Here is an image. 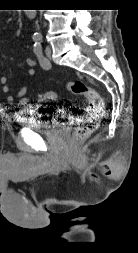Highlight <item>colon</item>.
<instances>
[{"instance_id":"1","label":"colon","mask_w":138,"mask_h":253,"mask_svg":"<svg viewBox=\"0 0 138 253\" xmlns=\"http://www.w3.org/2000/svg\"><path fill=\"white\" fill-rule=\"evenodd\" d=\"M67 90L75 95L84 96L88 105L84 112L78 116V124L73 133L75 142L86 140L99 126V122L104 115V101L101 95L85 82L74 80L67 84ZM42 103H51L57 100L56 92L49 91L39 95Z\"/></svg>"}]
</instances>
